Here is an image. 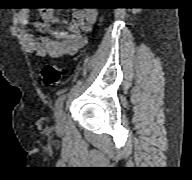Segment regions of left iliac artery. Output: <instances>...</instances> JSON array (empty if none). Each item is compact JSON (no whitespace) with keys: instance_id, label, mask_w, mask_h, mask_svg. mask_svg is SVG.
<instances>
[{"instance_id":"1","label":"left iliac artery","mask_w":192,"mask_h":180,"mask_svg":"<svg viewBox=\"0 0 192 180\" xmlns=\"http://www.w3.org/2000/svg\"><path fill=\"white\" fill-rule=\"evenodd\" d=\"M65 98H66V94H62L56 100V104H55L56 112H59L62 109Z\"/></svg>"}]
</instances>
